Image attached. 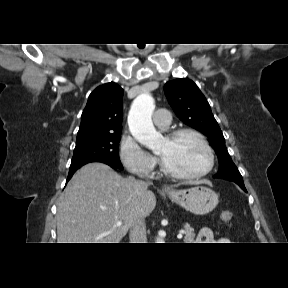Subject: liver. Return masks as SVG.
I'll return each mask as SVG.
<instances>
[{
    "label": "liver",
    "mask_w": 288,
    "mask_h": 288,
    "mask_svg": "<svg viewBox=\"0 0 288 288\" xmlns=\"http://www.w3.org/2000/svg\"><path fill=\"white\" fill-rule=\"evenodd\" d=\"M199 183L207 181L185 184ZM148 187L143 181L123 178L103 163L81 167L58 203V243H119L155 209L156 197ZM117 221L122 225L115 226Z\"/></svg>",
    "instance_id": "1"
}]
</instances>
